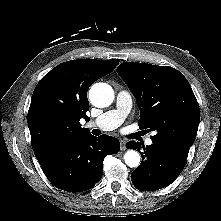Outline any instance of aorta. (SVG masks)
<instances>
[{
  "label": "aorta",
  "instance_id": "aorta-1",
  "mask_svg": "<svg viewBox=\"0 0 221 221\" xmlns=\"http://www.w3.org/2000/svg\"><path fill=\"white\" fill-rule=\"evenodd\" d=\"M89 99L95 107H107L113 102L114 91L106 83H96L89 90ZM124 161L130 168H136L140 165L141 156L135 150H128L124 154Z\"/></svg>",
  "mask_w": 221,
  "mask_h": 221
}]
</instances>
